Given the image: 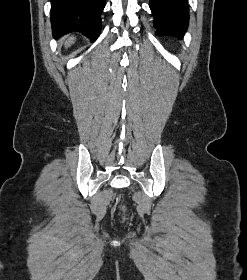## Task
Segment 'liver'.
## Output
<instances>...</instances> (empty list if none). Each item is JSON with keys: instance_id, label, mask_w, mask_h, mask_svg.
<instances>
[{"instance_id": "obj_1", "label": "liver", "mask_w": 247, "mask_h": 280, "mask_svg": "<svg viewBox=\"0 0 247 280\" xmlns=\"http://www.w3.org/2000/svg\"><path fill=\"white\" fill-rule=\"evenodd\" d=\"M75 41V37H69L67 38V40L65 41V47L68 48L70 47Z\"/></svg>"}]
</instances>
